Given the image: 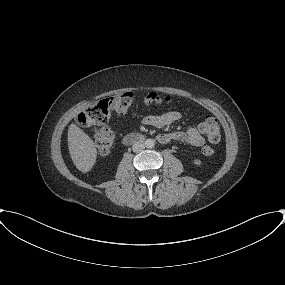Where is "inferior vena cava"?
Listing matches in <instances>:
<instances>
[{
	"label": "inferior vena cava",
	"instance_id": "602c4592",
	"mask_svg": "<svg viewBox=\"0 0 285 285\" xmlns=\"http://www.w3.org/2000/svg\"><path fill=\"white\" fill-rule=\"evenodd\" d=\"M145 149V144L142 142H136L135 144H133L132 146V150L135 153H139L141 151H143Z\"/></svg>",
	"mask_w": 285,
	"mask_h": 285
}]
</instances>
